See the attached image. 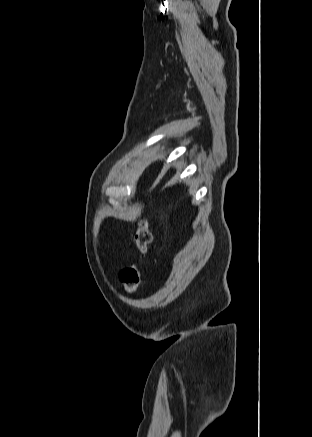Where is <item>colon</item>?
Here are the masks:
<instances>
[{
    "label": "colon",
    "mask_w": 312,
    "mask_h": 437,
    "mask_svg": "<svg viewBox=\"0 0 312 437\" xmlns=\"http://www.w3.org/2000/svg\"><path fill=\"white\" fill-rule=\"evenodd\" d=\"M135 246L138 251L137 260L122 268L119 272V281L125 292H134L140 284L141 263L148 251L152 235L147 220H143L135 233Z\"/></svg>",
    "instance_id": "5ec220e1"
}]
</instances>
